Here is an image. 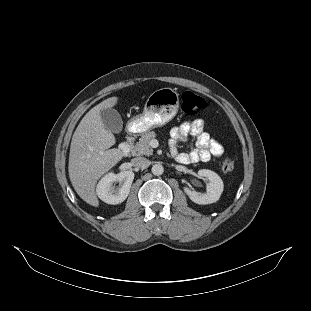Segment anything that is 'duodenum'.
<instances>
[{"mask_svg": "<svg viewBox=\"0 0 311 311\" xmlns=\"http://www.w3.org/2000/svg\"><path fill=\"white\" fill-rule=\"evenodd\" d=\"M132 136H127L126 140L119 145V150L123 155H127L131 150Z\"/></svg>", "mask_w": 311, "mask_h": 311, "instance_id": "1", "label": "duodenum"}]
</instances>
